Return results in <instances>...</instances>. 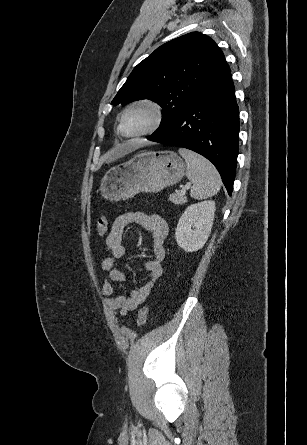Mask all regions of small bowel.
<instances>
[{"label":"small bowel","instance_id":"small-bowel-1","mask_svg":"<svg viewBox=\"0 0 307 445\" xmlns=\"http://www.w3.org/2000/svg\"><path fill=\"white\" fill-rule=\"evenodd\" d=\"M133 223L140 225L151 234L153 257L145 263V269L149 274L146 283L133 290L129 296H124L115 293L111 282L121 283L125 281V275L117 267V262L124 257L126 251L123 244L125 229ZM167 235L168 224L164 217L158 213L132 211L124 213L114 220L104 244L105 250L110 255L101 264L102 270L108 274L111 281L104 280L102 283V294L107 297L105 305L111 312L126 315L148 298L163 273V261L166 255L164 243Z\"/></svg>","mask_w":307,"mask_h":445}]
</instances>
